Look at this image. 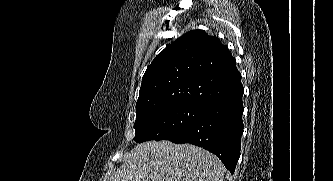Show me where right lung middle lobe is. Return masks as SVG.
<instances>
[{
  "instance_id": "dd1d6c3e",
  "label": "right lung middle lobe",
  "mask_w": 333,
  "mask_h": 181,
  "mask_svg": "<svg viewBox=\"0 0 333 181\" xmlns=\"http://www.w3.org/2000/svg\"><path fill=\"white\" fill-rule=\"evenodd\" d=\"M204 108L190 103H169L136 111L134 140L141 143L172 139L186 130Z\"/></svg>"
}]
</instances>
